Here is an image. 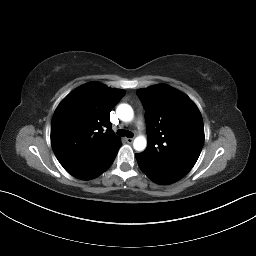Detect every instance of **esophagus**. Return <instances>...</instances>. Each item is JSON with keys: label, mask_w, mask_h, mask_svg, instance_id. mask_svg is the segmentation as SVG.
<instances>
[{"label": "esophagus", "mask_w": 256, "mask_h": 256, "mask_svg": "<svg viewBox=\"0 0 256 256\" xmlns=\"http://www.w3.org/2000/svg\"><path fill=\"white\" fill-rule=\"evenodd\" d=\"M125 140L128 144H131L133 142V138H126Z\"/></svg>", "instance_id": "1"}]
</instances>
